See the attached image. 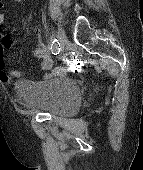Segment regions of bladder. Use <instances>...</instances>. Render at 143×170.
Returning a JSON list of instances; mask_svg holds the SVG:
<instances>
[{"label":"bladder","mask_w":143,"mask_h":170,"mask_svg":"<svg viewBox=\"0 0 143 170\" xmlns=\"http://www.w3.org/2000/svg\"><path fill=\"white\" fill-rule=\"evenodd\" d=\"M15 93L22 106L62 117L73 116L82 100L78 84L68 76L22 78L15 83Z\"/></svg>","instance_id":"bladder-1"}]
</instances>
